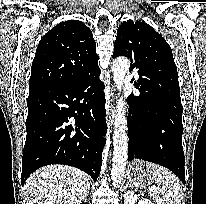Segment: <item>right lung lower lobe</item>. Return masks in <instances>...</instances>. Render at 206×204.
I'll use <instances>...</instances> for the list:
<instances>
[{
	"label": "right lung lower lobe",
	"instance_id": "obj_1",
	"mask_svg": "<svg viewBox=\"0 0 206 204\" xmlns=\"http://www.w3.org/2000/svg\"><path fill=\"white\" fill-rule=\"evenodd\" d=\"M98 67L74 82L29 92L21 182L49 164H65L88 173L101 169L105 125L104 85Z\"/></svg>",
	"mask_w": 206,
	"mask_h": 204
}]
</instances>
